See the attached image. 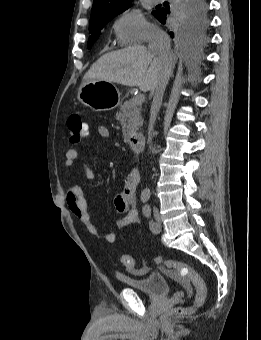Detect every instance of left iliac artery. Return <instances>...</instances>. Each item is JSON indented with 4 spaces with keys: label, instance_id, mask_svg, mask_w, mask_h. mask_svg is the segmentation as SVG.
<instances>
[{
    "label": "left iliac artery",
    "instance_id": "1",
    "mask_svg": "<svg viewBox=\"0 0 261 340\" xmlns=\"http://www.w3.org/2000/svg\"><path fill=\"white\" fill-rule=\"evenodd\" d=\"M143 214L147 219H149L150 230L155 231V229L157 228V224L151 219V208L149 205H145L143 207Z\"/></svg>",
    "mask_w": 261,
    "mask_h": 340
}]
</instances>
